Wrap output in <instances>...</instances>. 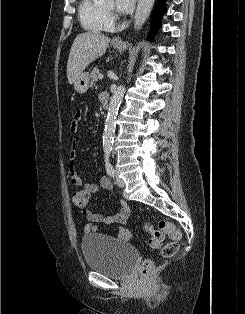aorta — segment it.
I'll return each instance as SVG.
<instances>
[{"label":"aorta","mask_w":245,"mask_h":314,"mask_svg":"<svg viewBox=\"0 0 245 314\" xmlns=\"http://www.w3.org/2000/svg\"><path fill=\"white\" fill-rule=\"evenodd\" d=\"M154 0H138L137 9L135 12L134 28L139 30L145 23L151 13ZM125 93V87L120 85L112 95L109 103L105 129L103 133V149L105 154H109L112 150L113 136L116 127V117Z\"/></svg>","instance_id":"762f6f07"}]
</instances>
